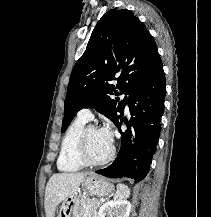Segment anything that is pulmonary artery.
Segmentation results:
<instances>
[{
    "instance_id": "e3ab8cb5",
    "label": "pulmonary artery",
    "mask_w": 211,
    "mask_h": 217,
    "mask_svg": "<svg viewBox=\"0 0 211 217\" xmlns=\"http://www.w3.org/2000/svg\"><path fill=\"white\" fill-rule=\"evenodd\" d=\"M126 110L128 111V106H126ZM78 117L85 121H89L93 117V114L91 109L83 108L78 112Z\"/></svg>"
}]
</instances>
